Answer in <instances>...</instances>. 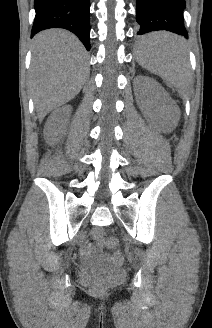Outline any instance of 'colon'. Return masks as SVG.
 <instances>
[{"label": "colon", "mask_w": 212, "mask_h": 328, "mask_svg": "<svg viewBox=\"0 0 212 328\" xmlns=\"http://www.w3.org/2000/svg\"><path fill=\"white\" fill-rule=\"evenodd\" d=\"M97 240L105 243L109 248L113 249L115 252L113 254V261L120 265L124 261V257L119 250V241L115 236L102 237L100 234H97ZM96 290H102L103 285L100 283L95 284Z\"/></svg>", "instance_id": "obj_1"}]
</instances>
